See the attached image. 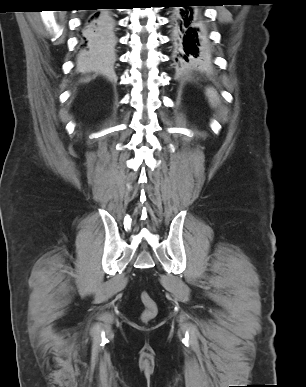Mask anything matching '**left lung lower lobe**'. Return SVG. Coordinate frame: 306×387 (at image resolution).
<instances>
[{
    "mask_svg": "<svg viewBox=\"0 0 306 387\" xmlns=\"http://www.w3.org/2000/svg\"><path fill=\"white\" fill-rule=\"evenodd\" d=\"M172 10L173 60L181 66L193 65L206 55L208 39L203 16L195 6H207L205 0H170Z\"/></svg>",
    "mask_w": 306,
    "mask_h": 387,
    "instance_id": "0a47b994",
    "label": "left lung lower lobe"
}]
</instances>
